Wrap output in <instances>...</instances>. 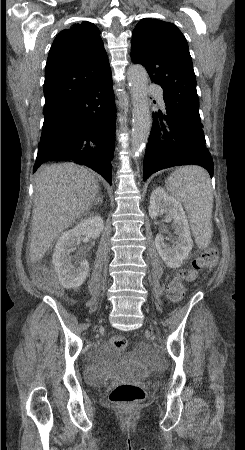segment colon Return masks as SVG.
<instances>
[{"label":"colon","instance_id":"obj_1","mask_svg":"<svg viewBox=\"0 0 245 450\" xmlns=\"http://www.w3.org/2000/svg\"><path fill=\"white\" fill-rule=\"evenodd\" d=\"M217 251L214 248H207L197 255L188 268L177 269L167 284V297L172 303H180L185 294L186 289L184 280L193 272L212 268L217 261ZM39 286L53 293H60V288L56 286L53 279L49 275H41L39 278ZM112 346L120 351H125L129 347V342L122 336H114L111 338ZM146 397L145 389L139 385L131 383H123L114 386L109 394L111 403L119 406L129 407L143 401Z\"/></svg>","mask_w":245,"mask_h":450}]
</instances>
